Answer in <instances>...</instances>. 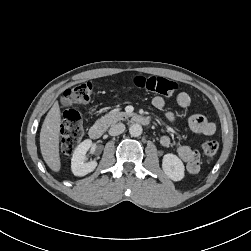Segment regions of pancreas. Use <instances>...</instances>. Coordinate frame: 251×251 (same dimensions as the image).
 Here are the masks:
<instances>
[{"mask_svg":"<svg viewBox=\"0 0 251 251\" xmlns=\"http://www.w3.org/2000/svg\"><path fill=\"white\" fill-rule=\"evenodd\" d=\"M130 114L126 112L112 111L102 116L99 120L96 121V124L108 128L111 125L128 118Z\"/></svg>","mask_w":251,"mask_h":251,"instance_id":"obj_1","label":"pancreas"}]
</instances>
